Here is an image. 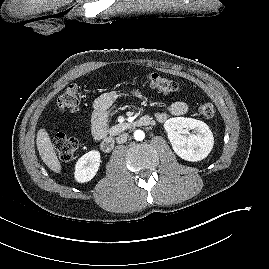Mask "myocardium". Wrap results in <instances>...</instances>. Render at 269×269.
<instances>
[{"label": "myocardium", "mask_w": 269, "mask_h": 269, "mask_svg": "<svg viewBox=\"0 0 269 269\" xmlns=\"http://www.w3.org/2000/svg\"><path fill=\"white\" fill-rule=\"evenodd\" d=\"M60 6H61L60 3H50V4L42 6L41 9L42 10H50V9L58 8Z\"/></svg>", "instance_id": "obj_1"}]
</instances>
